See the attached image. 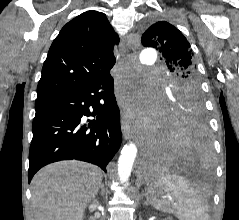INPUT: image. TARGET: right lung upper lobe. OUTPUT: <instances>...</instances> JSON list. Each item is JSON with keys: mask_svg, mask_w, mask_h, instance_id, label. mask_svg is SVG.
Returning <instances> with one entry per match:
<instances>
[{"mask_svg": "<svg viewBox=\"0 0 239 220\" xmlns=\"http://www.w3.org/2000/svg\"><path fill=\"white\" fill-rule=\"evenodd\" d=\"M117 41L102 12L90 10L68 22L49 49L36 101L82 89L110 72Z\"/></svg>", "mask_w": 239, "mask_h": 220, "instance_id": "right-lung-upper-lobe-1", "label": "right lung upper lobe"}]
</instances>
